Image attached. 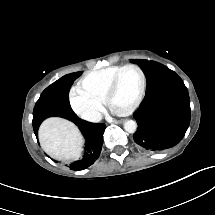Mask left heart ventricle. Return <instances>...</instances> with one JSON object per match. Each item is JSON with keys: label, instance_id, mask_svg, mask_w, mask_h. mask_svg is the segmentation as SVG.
<instances>
[{"label": "left heart ventricle", "instance_id": "b2bd125f", "mask_svg": "<svg viewBox=\"0 0 215 215\" xmlns=\"http://www.w3.org/2000/svg\"><path fill=\"white\" fill-rule=\"evenodd\" d=\"M120 76V85L114 95L116 104L123 106L129 104L134 96L138 78L134 71L124 70L118 73Z\"/></svg>", "mask_w": 215, "mask_h": 215}]
</instances>
